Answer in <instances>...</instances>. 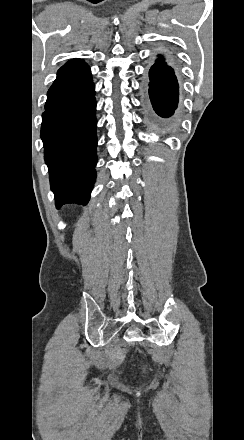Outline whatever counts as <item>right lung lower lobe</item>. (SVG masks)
I'll return each instance as SVG.
<instances>
[{"label":"right lung lower lobe","mask_w":244,"mask_h":440,"mask_svg":"<svg viewBox=\"0 0 244 440\" xmlns=\"http://www.w3.org/2000/svg\"><path fill=\"white\" fill-rule=\"evenodd\" d=\"M42 114L41 138L57 207L86 205L96 178L95 86L85 62L61 67Z\"/></svg>","instance_id":"obj_1"}]
</instances>
